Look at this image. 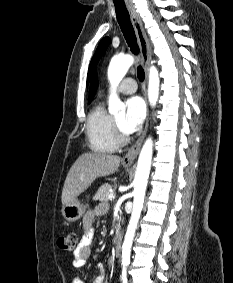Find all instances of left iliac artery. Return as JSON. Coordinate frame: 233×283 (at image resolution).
Wrapping results in <instances>:
<instances>
[{
  "instance_id": "1",
  "label": "left iliac artery",
  "mask_w": 233,
  "mask_h": 283,
  "mask_svg": "<svg viewBox=\"0 0 233 283\" xmlns=\"http://www.w3.org/2000/svg\"><path fill=\"white\" fill-rule=\"evenodd\" d=\"M122 283H127V268L123 267L121 275Z\"/></svg>"
}]
</instances>
